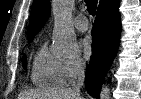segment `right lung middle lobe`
Masks as SVG:
<instances>
[{
    "label": "right lung middle lobe",
    "mask_w": 141,
    "mask_h": 99,
    "mask_svg": "<svg viewBox=\"0 0 141 99\" xmlns=\"http://www.w3.org/2000/svg\"><path fill=\"white\" fill-rule=\"evenodd\" d=\"M27 67V60L26 58L24 57L23 58V68H26Z\"/></svg>",
    "instance_id": "dd1d6c3e"
}]
</instances>
